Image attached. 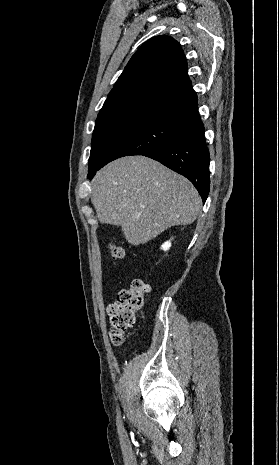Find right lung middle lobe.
<instances>
[{
    "label": "right lung middle lobe",
    "instance_id": "obj_1",
    "mask_svg": "<svg viewBox=\"0 0 279 465\" xmlns=\"http://www.w3.org/2000/svg\"><path fill=\"white\" fill-rule=\"evenodd\" d=\"M177 127L175 123L135 120L95 128L89 171L123 156L143 155L169 139Z\"/></svg>",
    "mask_w": 279,
    "mask_h": 465
}]
</instances>
